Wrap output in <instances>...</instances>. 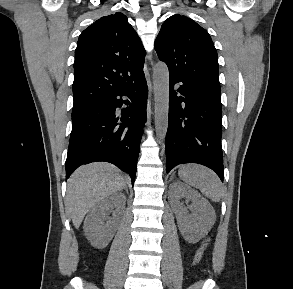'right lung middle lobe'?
Masks as SVG:
<instances>
[{
	"mask_svg": "<svg viewBox=\"0 0 293 289\" xmlns=\"http://www.w3.org/2000/svg\"><path fill=\"white\" fill-rule=\"evenodd\" d=\"M88 105H90V104L74 105V106H73V109H72V113H73V112H77V111H79V110H81V109L87 107Z\"/></svg>",
	"mask_w": 293,
	"mask_h": 289,
	"instance_id": "right-lung-middle-lobe-1",
	"label": "right lung middle lobe"
}]
</instances>
